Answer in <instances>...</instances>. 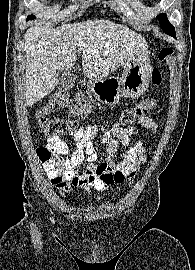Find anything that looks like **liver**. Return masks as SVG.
I'll use <instances>...</instances> for the list:
<instances>
[{
    "label": "liver",
    "mask_w": 195,
    "mask_h": 270,
    "mask_svg": "<svg viewBox=\"0 0 195 270\" xmlns=\"http://www.w3.org/2000/svg\"><path fill=\"white\" fill-rule=\"evenodd\" d=\"M145 39L110 20L94 19L59 28L31 26L25 34V105L32 106L51 93L59 71L73 67L82 51L83 74L90 80L104 79L125 65Z\"/></svg>",
    "instance_id": "1"
}]
</instances>
